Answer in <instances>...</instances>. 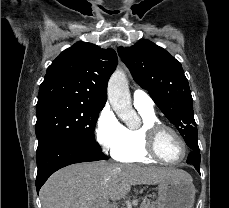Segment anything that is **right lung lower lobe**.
<instances>
[{
    "mask_svg": "<svg viewBox=\"0 0 229 208\" xmlns=\"http://www.w3.org/2000/svg\"><path fill=\"white\" fill-rule=\"evenodd\" d=\"M37 177L36 190L39 192L41 186L55 171L67 165L107 160L101 148H95L78 140H58L37 153Z\"/></svg>",
    "mask_w": 229,
    "mask_h": 208,
    "instance_id": "obj_1",
    "label": "right lung lower lobe"
}]
</instances>
